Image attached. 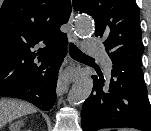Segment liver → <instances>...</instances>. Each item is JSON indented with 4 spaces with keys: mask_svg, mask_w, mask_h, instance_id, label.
Listing matches in <instances>:
<instances>
[{
    "mask_svg": "<svg viewBox=\"0 0 151 131\" xmlns=\"http://www.w3.org/2000/svg\"><path fill=\"white\" fill-rule=\"evenodd\" d=\"M31 112H35V108L28 103L16 100H0V129L8 122Z\"/></svg>",
    "mask_w": 151,
    "mask_h": 131,
    "instance_id": "liver-1",
    "label": "liver"
}]
</instances>
